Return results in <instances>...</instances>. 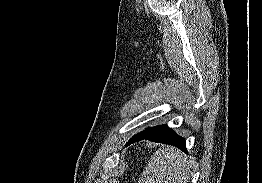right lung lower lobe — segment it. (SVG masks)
Masks as SVG:
<instances>
[{"label": "right lung lower lobe", "instance_id": "98d812e1", "mask_svg": "<svg viewBox=\"0 0 262 183\" xmlns=\"http://www.w3.org/2000/svg\"><path fill=\"white\" fill-rule=\"evenodd\" d=\"M143 139H148L158 143L170 144L186 152L185 139L178 136L174 131L168 128L167 125L150 127L141 133H138L133 138H131L126 146Z\"/></svg>", "mask_w": 262, "mask_h": 183}]
</instances>
